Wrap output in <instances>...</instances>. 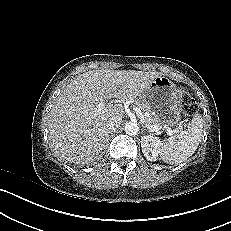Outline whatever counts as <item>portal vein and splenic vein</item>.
Instances as JSON below:
<instances>
[{"instance_id": "1", "label": "portal vein and splenic vein", "mask_w": 231, "mask_h": 231, "mask_svg": "<svg viewBox=\"0 0 231 231\" xmlns=\"http://www.w3.org/2000/svg\"><path fill=\"white\" fill-rule=\"evenodd\" d=\"M95 106H96V111H98V112H102V111L106 110V108H107L106 104L103 101L97 102ZM134 110L142 122L144 115H143L141 109L137 106H134ZM148 129L151 132H156V133H159V131L161 129H164V130H166L167 134H169V135H173L175 133V131H173L168 125L148 126Z\"/></svg>"}]
</instances>
